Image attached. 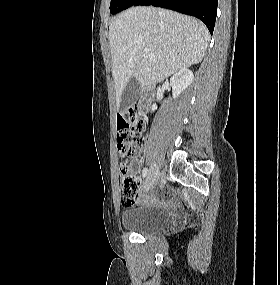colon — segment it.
Instances as JSON below:
<instances>
[{
    "label": "colon",
    "mask_w": 280,
    "mask_h": 285,
    "mask_svg": "<svg viewBox=\"0 0 280 285\" xmlns=\"http://www.w3.org/2000/svg\"><path fill=\"white\" fill-rule=\"evenodd\" d=\"M117 123V143L121 156L125 160L137 158L145 132V119L143 115L138 109L131 107L118 115ZM120 174L122 205L132 206L137 199V179L128 172L126 163L121 165Z\"/></svg>",
    "instance_id": "colon-1"
}]
</instances>
